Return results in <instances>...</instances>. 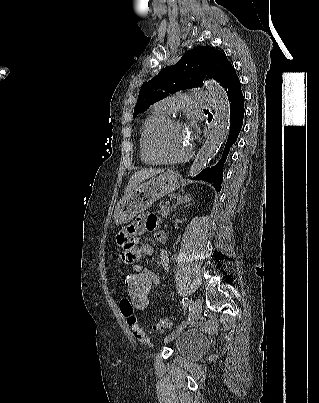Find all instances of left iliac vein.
I'll return each instance as SVG.
<instances>
[{
  "instance_id": "4c4485c4",
  "label": "left iliac vein",
  "mask_w": 319,
  "mask_h": 403,
  "mask_svg": "<svg viewBox=\"0 0 319 403\" xmlns=\"http://www.w3.org/2000/svg\"><path fill=\"white\" fill-rule=\"evenodd\" d=\"M190 307L192 309V320L198 319V317L201 314L202 310V303L199 299H195L190 303ZM175 335H171L165 339V342L172 341L174 339Z\"/></svg>"
}]
</instances>
